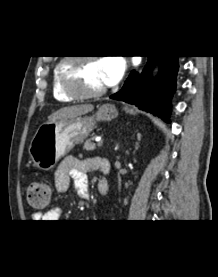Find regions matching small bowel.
I'll return each instance as SVG.
<instances>
[{
    "instance_id": "1",
    "label": "small bowel",
    "mask_w": 218,
    "mask_h": 277,
    "mask_svg": "<svg viewBox=\"0 0 218 277\" xmlns=\"http://www.w3.org/2000/svg\"><path fill=\"white\" fill-rule=\"evenodd\" d=\"M103 158H76L67 157L55 171V186L58 192H65L71 181L78 196L83 200L89 199L87 173L91 170L108 172L109 163ZM62 215V208L55 207L45 213L33 215L36 222H55Z\"/></svg>"
}]
</instances>
